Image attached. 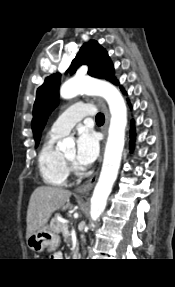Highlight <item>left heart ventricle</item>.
<instances>
[{
    "label": "left heart ventricle",
    "instance_id": "obj_1",
    "mask_svg": "<svg viewBox=\"0 0 175 287\" xmlns=\"http://www.w3.org/2000/svg\"><path fill=\"white\" fill-rule=\"evenodd\" d=\"M65 156L69 159L74 160L75 158V150H71L70 152L66 153Z\"/></svg>",
    "mask_w": 175,
    "mask_h": 287
}]
</instances>
